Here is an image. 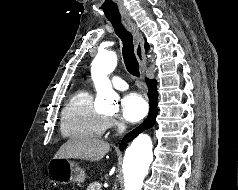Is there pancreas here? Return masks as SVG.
<instances>
[{
  "instance_id": "cf45deb5",
  "label": "pancreas",
  "mask_w": 238,
  "mask_h": 190,
  "mask_svg": "<svg viewBox=\"0 0 238 190\" xmlns=\"http://www.w3.org/2000/svg\"><path fill=\"white\" fill-rule=\"evenodd\" d=\"M101 186L102 185L99 182H92L88 185L86 190H102Z\"/></svg>"
}]
</instances>
